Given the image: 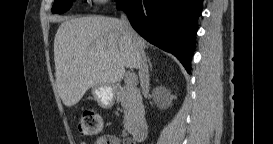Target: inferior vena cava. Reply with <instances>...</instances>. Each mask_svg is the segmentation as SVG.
I'll use <instances>...</instances> for the list:
<instances>
[{"label": "inferior vena cava", "instance_id": "obj_1", "mask_svg": "<svg viewBox=\"0 0 273 144\" xmlns=\"http://www.w3.org/2000/svg\"><path fill=\"white\" fill-rule=\"evenodd\" d=\"M125 32L133 38V45H134V51L138 62V69H139V78H140V84L141 88L143 90L144 95H148L149 91V71H148V65L147 60L144 52L143 44L138 37V35L135 33V31L132 29L127 16L123 13L121 14L120 19Z\"/></svg>", "mask_w": 273, "mask_h": 144}]
</instances>
